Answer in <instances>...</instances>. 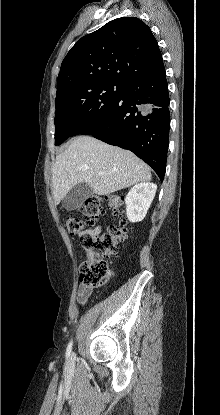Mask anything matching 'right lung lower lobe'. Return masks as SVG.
<instances>
[{
    "label": "right lung lower lobe",
    "instance_id": "1",
    "mask_svg": "<svg viewBox=\"0 0 220 415\" xmlns=\"http://www.w3.org/2000/svg\"><path fill=\"white\" fill-rule=\"evenodd\" d=\"M165 67L125 83L103 125L91 135L132 151L163 181L170 128Z\"/></svg>",
    "mask_w": 220,
    "mask_h": 415
}]
</instances>
